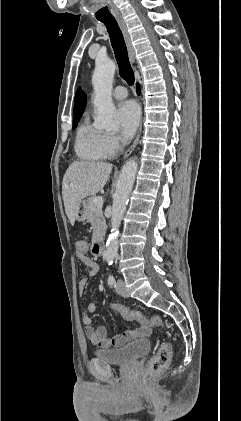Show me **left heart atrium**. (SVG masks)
<instances>
[{
    "label": "left heart atrium",
    "mask_w": 241,
    "mask_h": 421,
    "mask_svg": "<svg viewBox=\"0 0 241 421\" xmlns=\"http://www.w3.org/2000/svg\"><path fill=\"white\" fill-rule=\"evenodd\" d=\"M116 119L122 137L131 138L140 121V110L137 104L130 100L120 103L116 111Z\"/></svg>",
    "instance_id": "left-heart-atrium-1"
}]
</instances>
